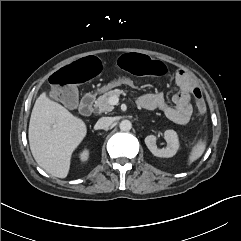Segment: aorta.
<instances>
[{
    "label": "aorta",
    "instance_id": "obj_1",
    "mask_svg": "<svg viewBox=\"0 0 241 241\" xmlns=\"http://www.w3.org/2000/svg\"><path fill=\"white\" fill-rule=\"evenodd\" d=\"M119 127L122 131H129L132 128V123L129 120H123L120 122Z\"/></svg>",
    "mask_w": 241,
    "mask_h": 241
}]
</instances>
